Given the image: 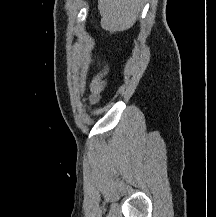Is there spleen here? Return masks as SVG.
<instances>
[{
    "instance_id": "1",
    "label": "spleen",
    "mask_w": 216,
    "mask_h": 217,
    "mask_svg": "<svg viewBox=\"0 0 216 217\" xmlns=\"http://www.w3.org/2000/svg\"><path fill=\"white\" fill-rule=\"evenodd\" d=\"M144 0H98L102 28L124 31L135 23Z\"/></svg>"
}]
</instances>
